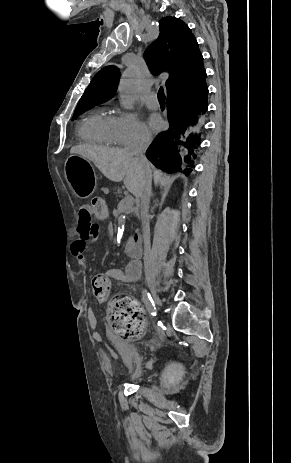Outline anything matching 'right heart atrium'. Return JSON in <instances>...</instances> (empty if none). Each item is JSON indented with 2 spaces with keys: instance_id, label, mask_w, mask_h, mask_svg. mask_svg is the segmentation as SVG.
I'll return each instance as SVG.
<instances>
[{
  "instance_id": "d8ad5b80",
  "label": "right heart atrium",
  "mask_w": 291,
  "mask_h": 463,
  "mask_svg": "<svg viewBox=\"0 0 291 463\" xmlns=\"http://www.w3.org/2000/svg\"><path fill=\"white\" fill-rule=\"evenodd\" d=\"M114 130L118 144L124 147L147 143L150 140L147 129L132 112H119L114 119Z\"/></svg>"
}]
</instances>
